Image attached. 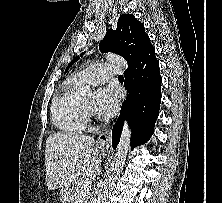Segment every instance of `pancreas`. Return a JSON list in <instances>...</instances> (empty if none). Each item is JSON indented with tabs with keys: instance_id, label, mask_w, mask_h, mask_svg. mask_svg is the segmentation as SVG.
Instances as JSON below:
<instances>
[{
	"instance_id": "1",
	"label": "pancreas",
	"mask_w": 222,
	"mask_h": 203,
	"mask_svg": "<svg viewBox=\"0 0 222 203\" xmlns=\"http://www.w3.org/2000/svg\"><path fill=\"white\" fill-rule=\"evenodd\" d=\"M87 179L80 180L76 185L75 189L73 190L72 197L79 198L83 192H86L84 189V184Z\"/></svg>"
}]
</instances>
